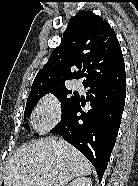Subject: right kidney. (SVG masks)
Wrapping results in <instances>:
<instances>
[{"instance_id": "obj_1", "label": "right kidney", "mask_w": 138, "mask_h": 186, "mask_svg": "<svg viewBox=\"0 0 138 186\" xmlns=\"http://www.w3.org/2000/svg\"><path fill=\"white\" fill-rule=\"evenodd\" d=\"M68 186H92L91 179L79 177L73 180Z\"/></svg>"}]
</instances>
